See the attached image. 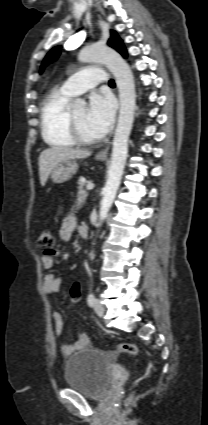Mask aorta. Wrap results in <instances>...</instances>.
Wrapping results in <instances>:
<instances>
[{
  "label": "aorta",
  "instance_id": "aorta-1",
  "mask_svg": "<svg viewBox=\"0 0 208 425\" xmlns=\"http://www.w3.org/2000/svg\"><path fill=\"white\" fill-rule=\"evenodd\" d=\"M78 60L84 63H104L114 75L119 90L120 111L113 139L111 163L100 203L98 223L100 226L107 217L115 199L126 163L128 139L132 129L136 107L135 82L129 65L120 54L111 48L97 45L86 47L80 51ZM84 104L85 102L82 99H76L75 101L76 106Z\"/></svg>",
  "mask_w": 208,
  "mask_h": 425
}]
</instances>
